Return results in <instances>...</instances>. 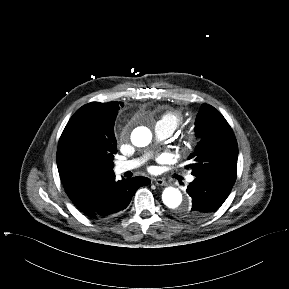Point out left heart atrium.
Listing matches in <instances>:
<instances>
[{
    "mask_svg": "<svg viewBox=\"0 0 289 289\" xmlns=\"http://www.w3.org/2000/svg\"><path fill=\"white\" fill-rule=\"evenodd\" d=\"M158 160H159V161H164V160H166V156H165V155H160V156L158 157Z\"/></svg>",
    "mask_w": 289,
    "mask_h": 289,
    "instance_id": "1",
    "label": "left heart atrium"
}]
</instances>
